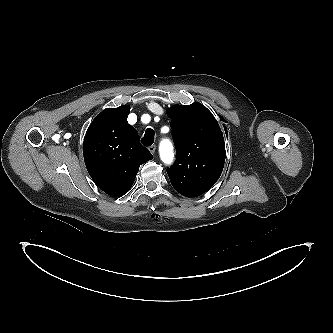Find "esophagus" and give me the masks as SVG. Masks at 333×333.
Returning a JSON list of instances; mask_svg holds the SVG:
<instances>
[{
    "mask_svg": "<svg viewBox=\"0 0 333 333\" xmlns=\"http://www.w3.org/2000/svg\"><path fill=\"white\" fill-rule=\"evenodd\" d=\"M148 149H149L150 153L154 155L155 151H156V145H151V146H149Z\"/></svg>",
    "mask_w": 333,
    "mask_h": 333,
    "instance_id": "1",
    "label": "esophagus"
}]
</instances>
